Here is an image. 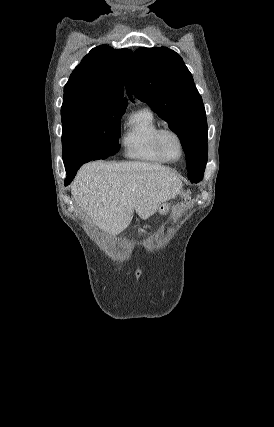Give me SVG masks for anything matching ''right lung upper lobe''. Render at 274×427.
<instances>
[{"instance_id": "cb5924a9", "label": "right lung upper lobe", "mask_w": 274, "mask_h": 427, "mask_svg": "<svg viewBox=\"0 0 274 427\" xmlns=\"http://www.w3.org/2000/svg\"><path fill=\"white\" fill-rule=\"evenodd\" d=\"M131 55L127 48L114 49L108 45L93 48L70 75L64 87L62 108L86 103L127 105L123 87Z\"/></svg>"}]
</instances>
